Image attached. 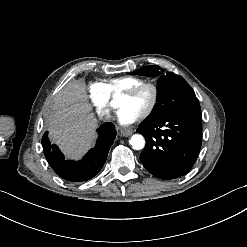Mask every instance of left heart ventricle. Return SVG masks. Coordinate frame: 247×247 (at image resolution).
Instances as JSON below:
<instances>
[{
  "label": "left heart ventricle",
  "mask_w": 247,
  "mask_h": 247,
  "mask_svg": "<svg viewBox=\"0 0 247 247\" xmlns=\"http://www.w3.org/2000/svg\"><path fill=\"white\" fill-rule=\"evenodd\" d=\"M149 99H150L149 92L147 90H144L133 100L126 99L125 105H133V106L139 108L143 113L148 108Z\"/></svg>",
  "instance_id": "obj_1"
}]
</instances>
